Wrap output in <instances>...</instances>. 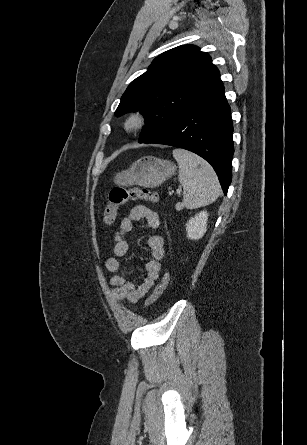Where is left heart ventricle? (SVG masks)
Returning <instances> with one entry per match:
<instances>
[{
	"label": "left heart ventricle",
	"mask_w": 307,
	"mask_h": 445,
	"mask_svg": "<svg viewBox=\"0 0 307 445\" xmlns=\"http://www.w3.org/2000/svg\"><path fill=\"white\" fill-rule=\"evenodd\" d=\"M136 126V120H130L128 123H127V125H126V127L128 128V129H132V128H134Z\"/></svg>",
	"instance_id": "left-heart-ventricle-1"
}]
</instances>
